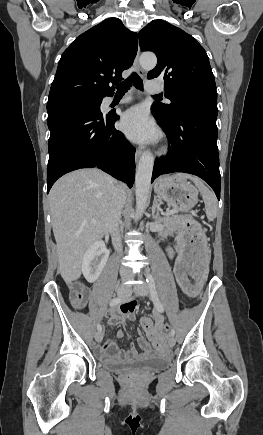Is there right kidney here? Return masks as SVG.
<instances>
[{"instance_id": "obj_1", "label": "right kidney", "mask_w": 263, "mask_h": 435, "mask_svg": "<svg viewBox=\"0 0 263 435\" xmlns=\"http://www.w3.org/2000/svg\"><path fill=\"white\" fill-rule=\"evenodd\" d=\"M109 258V251L102 241L94 242L84 253L82 273L85 279L93 283L100 276Z\"/></svg>"}]
</instances>
